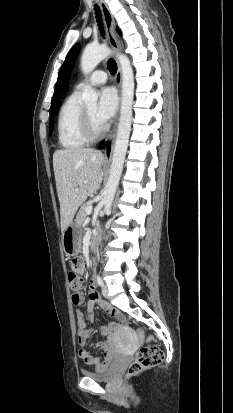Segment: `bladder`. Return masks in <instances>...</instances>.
<instances>
[{
  "instance_id": "1",
  "label": "bladder",
  "mask_w": 233,
  "mask_h": 413,
  "mask_svg": "<svg viewBox=\"0 0 233 413\" xmlns=\"http://www.w3.org/2000/svg\"><path fill=\"white\" fill-rule=\"evenodd\" d=\"M82 374L84 377H87V378H90L96 381L107 382L113 378L114 372L111 368H104V369H99L96 371L84 370L82 371Z\"/></svg>"
}]
</instances>
